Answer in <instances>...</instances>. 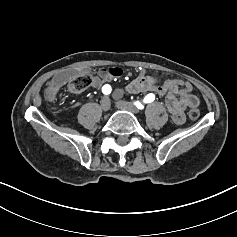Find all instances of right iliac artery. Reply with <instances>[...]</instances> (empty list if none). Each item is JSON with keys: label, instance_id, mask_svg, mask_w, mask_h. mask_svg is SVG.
<instances>
[{"label": "right iliac artery", "instance_id": "obj_1", "mask_svg": "<svg viewBox=\"0 0 237 237\" xmlns=\"http://www.w3.org/2000/svg\"><path fill=\"white\" fill-rule=\"evenodd\" d=\"M111 86L106 84L102 87V92L105 94V95H108L111 93Z\"/></svg>", "mask_w": 237, "mask_h": 237}]
</instances>
